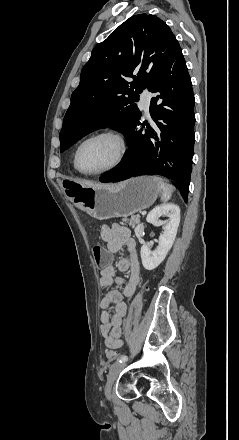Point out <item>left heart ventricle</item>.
<instances>
[{"instance_id":"1","label":"left heart ventricle","mask_w":239,"mask_h":440,"mask_svg":"<svg viewBox=\"0 0 239 440\" xmlns=\"http://www.w3.org/2000/svg\"><path fill=\"white\" fill-rule=\"evenodd\" d=\"M118 153V144L113 138H96L82 147L79 164L83 171H100L111 166L115 162Z\"/></svg>"}]
</instances>
